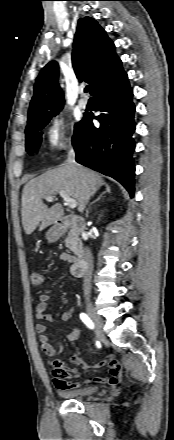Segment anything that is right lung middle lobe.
I'll use <instances>...</instances> for the list:
<instances>
[{
    "label": "right lung middle lobe",
    "mask_w": 174,
    "mask_h": 440,
    "mask_svg": "<svg viewBox=\"0 0 174 440\" xmlns=\"http://www.w3.org/2000/svg\"><path fill=\"white\" fill-rule=\"evenodd\" d=\"M49 120L50 119L39 122L32 127L26 129V150L30 155H32L33 152H35L39 148L41 142V133L39 131L48 124ZM79 126L80 122L75 125L74 136L76 135Z\"/></svg>",
    "instance_id": "1"
}]
</instances>
